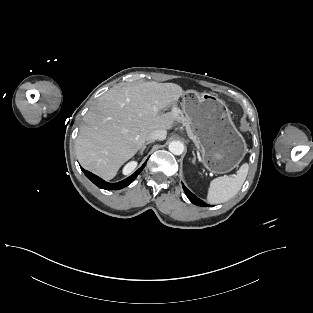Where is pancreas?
I'll return each mask as SVG.
<instances>
[{"label":"pancreas","mask_w":313,"mask_h":313,"mask_svg":"<svg viewBox=\"0 0 313 313\" xmlns=\"http://www.w3.org/2000/svg\"><path fill=\"white\" fill-rule=\"evenodd\" d=\"M179 120L186 126V129H187L188 134L190 135V137L193 139L195 145L197 146V139H196V137L193 135V133H192V131H191L189 122H188V120L186 119V117L183 116V114H182L181 112H180ZM197 147H198V146H197Z\"/></svg>","instance_id":"1"}]
</instances>
